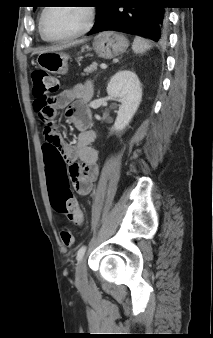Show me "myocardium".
<instances>
[{"label":"myocardium","instance_id":"obj_1","mask_svg":"<svg viewBox=\"0 0 213 338\" xmlns=\"http://www.w3.org/2000/svg\"><path fill=\"white\" fill-rule=\"evenodd\" d=\"M53 6H54V4L48 5V7H46V9L43 11V13L41 14V17H40L39 33H40L43 40H45L47 42H51V43H59V42L69 41V40H73V39H76V38H79V37L85 35L92 28L93 23H94V19H95V10H94L93 7L89 6L88 4H85L82 8H84L85 11H86L87 19H86L85 25L80 30H78L77 32L72 33L70 35L64 36V37L48 38L44 34V22H45V18H46V15L48 14V12L52 8H54Z\"/></svg>","mask_w":213,"mask_h":338}]
</instances>
